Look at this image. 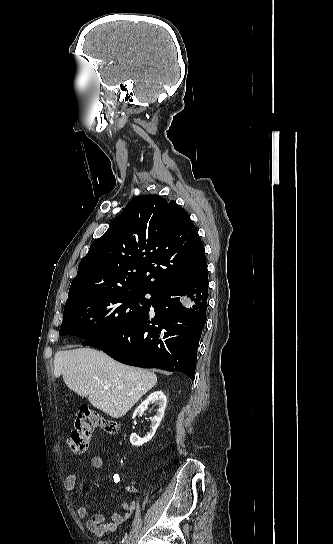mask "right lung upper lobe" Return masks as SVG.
<instances>
[{"label": "right lung upper lobe", "mask_w": 333, "mask_h": 544, "mask_svg": "<svg viewBox=\"0 0 333 544\" xmlns=\"http://www.w3.org/2000/svg\"><path fill=\"white\" fill-rule=\"evenodd\" d=\"M206 270L204 246L188 213L157 195L138 196L91 244L66 303L116 290L154 294Z\"/></svg>", "instance_id": "right-lung-upper-lobe-1"}]
</instances>
